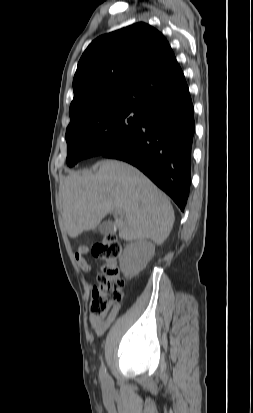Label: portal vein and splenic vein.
Instances as JSON below:
<instances>
[{
    "mask_svg": "<svg viewBox=\"0 0 253 413\" xmlns=\"http://www.w3.org/2000/svg\"><path fill=\"white\" fill-rule=\"evenodd\" d=\"M117 213H118V214H121V211H120V210H118V211H117Z\"/></svg>",
    "mask_w": 253,
    "mask_h": 413,
    "instance_id": "obj_1",
    "label": "portal vein and splenic vein"
}]
</instances>
